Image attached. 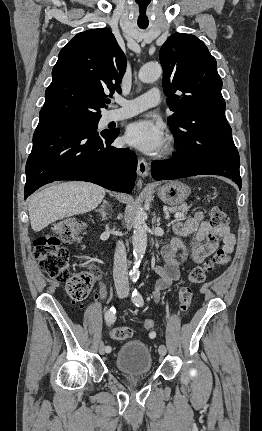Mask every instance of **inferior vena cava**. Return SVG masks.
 <instances>
[{"mask_svg":"<svg viewBox=\"0 0 262 431\" xmlns=\"http://www.w3.org/2000/svg\"><path fill=\"white\" fill-rule=\"evenodd\" d=\"M113 278L117 289L129 291L126 249L120 241L114 254Z\"/></svg>","mask_w":262,"mask_h":431,"instance_id":"1","label":"inferior vena cava"}]
</instances>
